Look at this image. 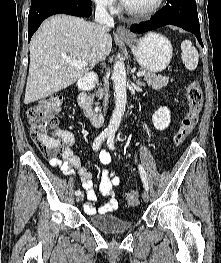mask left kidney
<instances>
[{
    "mask_svg": "<svg viewBox=\"0 0 221 263\" xmlns=\"http://www.w3.org/2000/svg\"><path fill=\"white\" fill-rule=\"evenodd\" d=\"M170 110L167 107H160L152 116V122L157 130H165L170 122L171 115Z\"/></svg>",
    "mask_w": 221,
    "mask_h": 263,
    "instance_id": "1",
    "label": "left kidney"
}]
</instances>
